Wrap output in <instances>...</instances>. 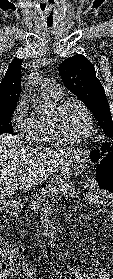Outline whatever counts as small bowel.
Here are the masks:
<instances>
[{
  "label": "small bowel",
  "mask_w": 113,
  "mask_h": 279,
  "mask_svg": "<svg viewBox=\"0 0 113 279\" xmlns=\"http://www.w3.org/2000/svg\"><path fill=\"white\" fill-rule=\"evenodd\" d=\"M85 189L90 193L89 200L92 204L99 205L103 202V200H108L111 204H113V195L97 193L95 191V183L93 181H88L85 185ZM111 219L113 222V209L111 210ZM25 274L27 279H37L36 271L32 268L25 269ZM72 274L74 279H113V272H110L105 268L100 269L96 276L84 274L77 269L72 270Z\"/></svg>",
  "instance_id": "1"
}]
</instances>
